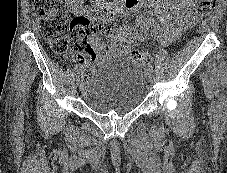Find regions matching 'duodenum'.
I'll list each match as a JSON object with an SVG mask.
<instances>
[{
    "label": "duodenum",
    "instance_id": "obj_1",
    "mask_svg": "<svg viewBox=\"0 0 227 173\" xmlns=\"http://www.w3.org/2000/svg\"><path fill=\"white\" fill-rule=\"evenodd\" d=\"M131 1L132 0H117L115 2L105 3L101 8L103 17L111 19L121 15L124 9L131 4Z\"/></svg>",
    "mask_w": 227,
    "mask_h": 173
}]
</instances>
